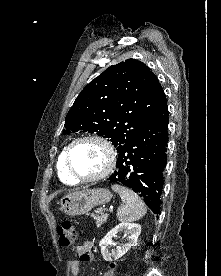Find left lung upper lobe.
<instances>
[{
	"instance_id": "obj_1",
	"label": "left lung upper lobe",
	"mask_w": 221,
	"mask_h": 276,
	"mask_svg": "<svg viewBox=\"0 0 221 276\" xmlns=\"http://www.w3.org/2000/svg\"><path fill=\"white\" fill-rule=\"evenodd\" d=\"M164 91L142 62L108 67L84 87L69 110L65 133L96 132L119 151L165 105Z\"/></svg>"
}]
</instances>
